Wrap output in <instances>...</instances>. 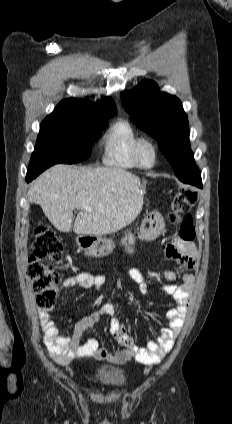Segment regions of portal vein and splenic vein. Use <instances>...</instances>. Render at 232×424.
I'll return each mask as SVG.
<instances>
[{"instance_id":"obj_1","label":"portal vein and splenic vein","mask_w":232,"mask_h":424,"mask_svg":"<svg viewBox=\"0 0 232 424\" xmlns=\"http://www.w3.org/2000/svg\"><path fill=\"white\" fill-rule=\"evenodd\" d=\"M83 208L86 210V211H92L93 209L90 207V206H88V205H84L83 206Z\"/></svg>"}]
</instances>
